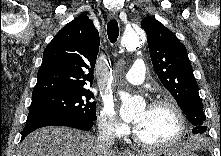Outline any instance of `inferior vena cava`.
<instances>
[{"instance_id": "1", "label": "inferior vena cava", "mask_w": 221, "mask_h": 156, "mask_svg": "<svg viewBox=\"0 0 221 156\" xmlns=\"http://www.w3.org/2000/svg\"><path fill=\"white\" fill-rule=\"evenodd\" d=\"M97 141L101 148L108 149L114 145L115 136L111 129H106L99 133Z\"/></svg>"}]
</instances>
